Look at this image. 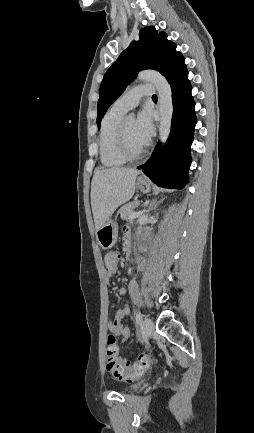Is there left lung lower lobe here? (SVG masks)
I'll return each mask as SVG.
<instances>
[{
	"label": "left lung lower lobe",
	"mask_w": 254,
	"mask_h": 433,
	"mask_svg": "<svg viewBox=\"0 0 254 433\" xmlns=\"http://www.w3.org/2000/svg\"><path fill=\"white\" fill-rule=\"evenodd\" d=\"M172 88V127L165 148L158 144L151 158L137 167L154 183L166 188L182 189L188 182L190 147L196 125L195 103L183 56L165 74Z\"/></svg>",
	"instance_id": "obj_1"
}]
</instances>
